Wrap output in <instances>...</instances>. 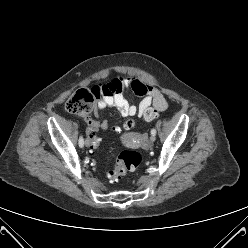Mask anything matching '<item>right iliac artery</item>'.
Masks as SVG:
<instances>
[{
	"instance_id": "obj_1",
	"label": "right iliac artery",
	"mask_w": 248,
	"mask_h": 248,
	"mask_svg": "<svg viewBox=\"0 0 248 248\" xmlns=\"http://www.w3.org/2000/svg\"><path fill=\"white\" fill-rule=\"evenodd\" d=\"M78 144H79L80 147H83V145H84L83 136H80Z\"/></svg>"
}]
</instances>
